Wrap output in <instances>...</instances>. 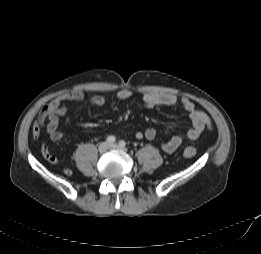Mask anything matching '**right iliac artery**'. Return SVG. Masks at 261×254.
Masks as SVG:
<instances>
[{
	"label": "right iliac artery",
	"mask_w": 261,
	"mask_h": 254,
	"mask_svg": "<svg viewBox=\"0 0 261 254\" xmlns=\"http://www.w3.org/2000/svg\"><path fill=\"white\" fill-rule=\"evenodd\" d=\"M106 140L108 143H114L116 141L114 136H108Z\"/></svg>",
	"instance_id": "obj_1"
}]
</instances>
